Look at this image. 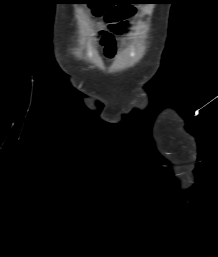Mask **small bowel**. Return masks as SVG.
I'll return each instance as SVG.
<instances>
[{"mask_svg":"<svg viewBox=\"0 0 218 257\" xmlns=\"http://www.w3.org/2000/svg\"><path fill=\"white\" fill-rule=\"evenodd\" d=\"M130 13L137 12V10H128ZM117 33L113 27L109 26L108 30L100 28L98 31V38L100 40L101 46L104 49L106 55L103 56L104 60H109V64H116V41L114 34ZM113 52H108L109 49Z\"/></svg>","mask_w":218,"mask_h":257,"instance_id":"c3829d8e","label":"small bowel"}]
</instances>
